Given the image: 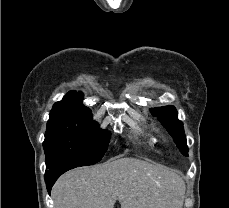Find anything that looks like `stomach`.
I'll return each mask as SVG.
<instances>
[{"mask_svg": "<svg viewBox=\"0 0 229 208\" xmlns=\"http://www.w3.org/2000/svg\"><path fill=\"white\" fill-rule=\"evenodd\" d=\"M177 208H182V206H177Z\"/></svg>", "mask_w": 229, "mask_h": 208, "instance_id": "0dacf381", "label": "stomach"}]
</instances>
